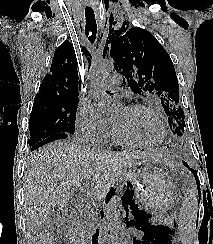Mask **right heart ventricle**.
<instances>
[{
    "instance_id": "right-heart-ventricle-1",
    "label": "right heart ventricle",
    "mask_w": 213,
    "mask_h": 244,
    "mask_svg": "<svg viewBox=\"0 0 213 244\" xmlns=\"http://www.w3.org/2000/svg\"><path fill=\"white\" fill-rule=\"evenodd\" d=\"M108 138H110V140H111L112 143L119 144V142L116 140V138L114 137L113 134L110 133L109 136H108Z\"/></svg>"
}]
</instances>
